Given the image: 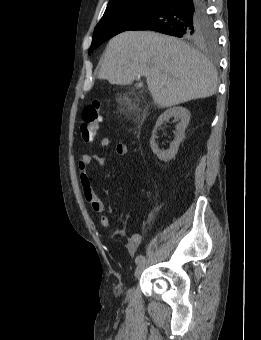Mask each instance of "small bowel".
Listing matches in <instances>:
<instances>
[{
    "instance_id": "obj_1",
    "label": "small bowel",
    "mask_w": 261,
    "mask_h": 340,
    "mask_svg": "<svg viewBox=\"0 0 261 340\" xmlns=\"http://www.w3.org/2000/svg\"><path fill=\"white\" fill-rule=\"evenodd\" d=\"M110 145V139L108 137H103L99 141V147L101 149H105ZM114 153L119 156H125L127 154V146L124 143H117L114 147ZM97 163L100 167H106V160L95 154L94 152H87L81 156L78 162L79 168V181L81 185L82 194L90 206V209L95 213H102L104 210L103 203L95 190L91 185L90 178L87 173V168L92 163ZM152 220L150 216L149 222ZM101 227L105 230L111 232L114 236L124 237L125 233L120 230H116L112 227L110 220L107 216H102L100 218ZM142 241V235L139 233H135L131 235L126 242V248L130 254H134L140 243Z\"/></svg>"
}]
</instances>
